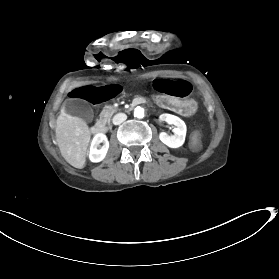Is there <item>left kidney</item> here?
I'll return each instance as SVG.
<instances>
[{
	"mask_svg": "<svg viewBox=\"0 0 279 279\" xmlns=\"http://www.w3.org/2000/svg\"><path fill=\"white\" fill-rule=\"evenodd\" d=\"M160 120L165 121L170 125H174L173 135H168L166 132H161L159 135L160 140L171 148H178L185 142L187 127L183 120L171 114H161Z\"/></svg>",
	"mask_w": 279,
	"mask_h": 279,
	"instance_id": "obj_1",
	"label": "left kidney"
}]
</instances>
